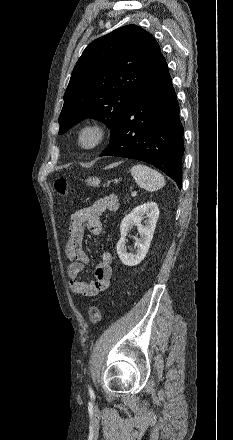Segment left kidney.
<instances>
[{"label": "left kidney", "instance_id": "5707ae66", "mask_svg": "<svg viewBox=\"0 0 233 440\" xmlns=\"http://www.w3.org/2000/svg\"><path fill=\"white\" fill-rule=\"evenodd\" d=\"M144 225H142V221ZM159 218L158 205L155 202H147L135 207L128 215L124 217L120 225L121 238L119 239L116 248L117 254L126 266L138 265L148 253L150 244L155 231L156 223ZM137 226L140 238H135V253H128L125 246L126 236L133 226Z\"/></svg>", "mask_w": 233, "mask_h": 440}]
</instances>
